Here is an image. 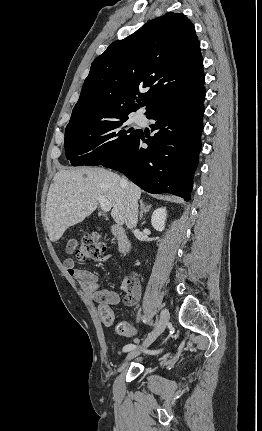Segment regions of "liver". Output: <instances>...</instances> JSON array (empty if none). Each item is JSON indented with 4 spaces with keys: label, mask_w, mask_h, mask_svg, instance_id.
<instances>
[{
    "label": "liver",
    "mask_w": 262,
    "mask_h": 431,
    "mask_svg": "<svg viewBox=\"0 0 262 431\" xmlns=\"http://www.w3.org/2000/svg\"><path fill=\"white\" fill-rule=\"evenodd\" d=\"M118 174L100 167L60 170L50 185L45 211L49 239L58 241L64 232L94 212L98 198L111 202V216L118 224L124 222V206L128 195L137 200L141 189Z\"/></svg>",
    "instance_id": "1"
}]
</instances>
